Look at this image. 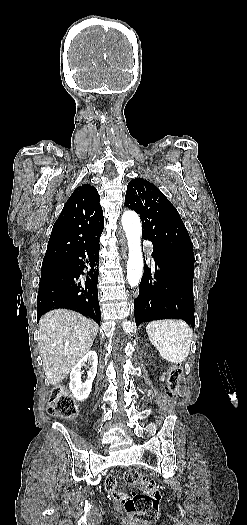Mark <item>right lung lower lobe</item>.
Here are the masks:
<instances>
[{
    "label": "right lung lower lobe",
    "mask_w": 247,
    "mask_h": 525,
    "mask_svg": "<svg viewBox=\"0 0 247 525\" xmlns=\"http://www.w3.org/2000/svg\"><path fill=\"white\" fill-rule=\"evenodd\" d=\"M99 238L88 241L65 256L59 264L42 267L37 296V321L41 315L57 308H65L82 313L100 324L101 313L98 302ZM89 256V261L82 259ZM90 264L88 277L79 281L82 268Z\"/></svg>",
    "instance_id": "98d812e1"
}]
</instances>
